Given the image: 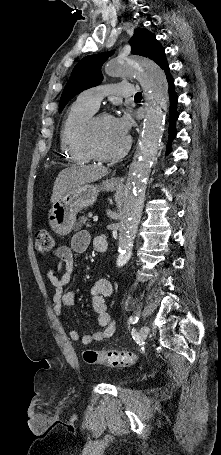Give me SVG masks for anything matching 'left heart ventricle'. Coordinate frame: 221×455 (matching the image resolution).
<instances>
[{
	"label": "left heart ventricle",
	"instance_id": "obj_1",
	"mask_svg": "<svg viewBox=\"0 0 221 455\" xmlns=\"http://www.w3.org/2000/svg\"><path fill=\"white\" fill-rule=\"evenodd\" d=\"M125 141L126 136L120 133L113 117H102L98 120L94 143L100 153H114L124 145Z\"/></svg>",
	"mask_w": 221,
	"mask_h": 455
}]
</instances>
